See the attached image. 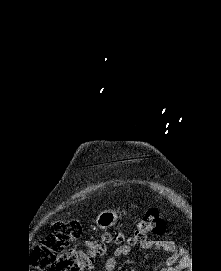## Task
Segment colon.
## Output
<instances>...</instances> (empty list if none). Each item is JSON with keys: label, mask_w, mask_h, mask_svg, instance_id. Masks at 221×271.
<instances>
[{"label": "colon", "mask_w": 221, "mask_h": 271, "mask_svg": "<svg viewBox=\"0 0 221 271\" xmlns=\"http://www.w3.org/2000/svg\"><path fill=\"white\" fill-rule=\"evenodd\" d=\"M168 224L150 209L140 218L130 242L137 243L150 235L163 234ZM83 228L74 217L63 218L53 224L51 232L39 243L32 255V262L39 271H89L95 260L102 257L111 243H120L121 234H103L98 239L87 240L85 248H68V243L81 237Z\"/></svg>", "instance_id": "1"}]
</instances>
